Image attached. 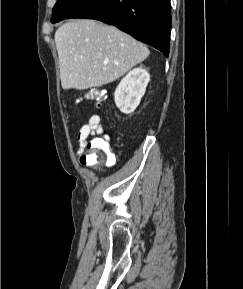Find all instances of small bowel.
I'll use <instances>...</instances> for the list:
<instances>
[{"label": "small bowel", "mask_w": 243, "mask_h": 289, "mask_svg": "<svg viewBox=\"0 0 243 289\" xmlns=\"http://www.w3.org/2000/svg\"><path fill=\"white\" fill-rule=\"evenodd\" d=\"M92 136H97L96 138H101L105 136V130L103 128L101 118L99 115H92L88 122L81 126L78 132V150L77 154L80 157V161L82 156L85 154V148L90 142L89 139ZM94 138V139H96ZM92 141V140H91Z\"/></svg>", "instance_id": "small-bowel-1"}]
</instances>
